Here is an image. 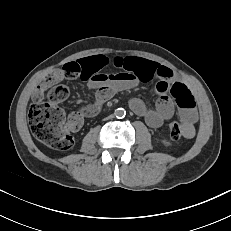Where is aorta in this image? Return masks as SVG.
Listing matches in <instances>:
<instances>
[{"instance_id": "1", "label": "aorta", "mask_w": 231, "mask_h": 231, "mask_svg": "<svg viewBox=\"0 0 231 231\" xmlns=\"http://www.w3.org/2000/svg\"><path fill=\"white\" fill-rule=\"evenodd\" d=\"M125 114H126V112H125V110H124L123 108H118V109H116V111H115V116H116L117 118H122V117L125 116Z\"/></svg>"}]
</instances>
